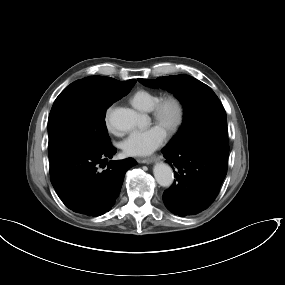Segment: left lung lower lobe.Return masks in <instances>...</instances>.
I'll return each mask as SVG.
<instances>
[{
    "label": "left lung lower lobe",
    "instance_id": "1",
    "mask_svg": "<svg viewBox=\"0 0 285 285\" xmlns=\"http://www.w3.org/2000/svg\"><path fill=\"white\" fill-rule=\"evenodd\" d=\"M228 144L205 141L162 153L174 170V184L164 191L169 211L180 217L197 214L215 200L226 176Z\"/></svg>",
    "mask_w": 285,
    "mask_h": 285
}]
</instances>
